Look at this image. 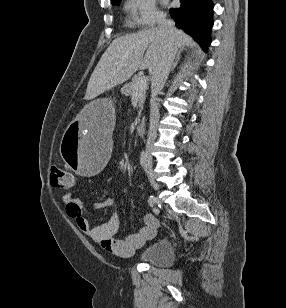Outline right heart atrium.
Here are the masks:
<instances>
[{"label": "right heart atrium", "mask_w": 286, "mask_h": 308, "mask_svg": "<svg viewBox=\"0 0 286 308\" xmlns=\"http://www.w3.org/2000/svg\"><path fill=\"white\" fill-rule=\"evenodd\" d=\"M125 11L131 23L139 28L152 27L163 19L155 0H126Z\"/></svg>", "instance_id": "1"}]
</instances>
